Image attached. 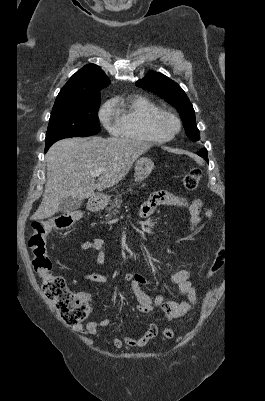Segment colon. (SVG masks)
<instances>
[{
    "label": "colon",
    "instance_id": "5ec220e1",
    "mask_svg": "<svg viewBox=\"0 0 265 401\" xmlns=\"http://www.w3.org/2000/svg\"><path fill=\"white\" fill-rule=\"evenodd\" d=\"M200 179L201 170L198 167H193L183 178L184 189L187 191L195 190ZM81 217L80 211H71L48 220L35 221L33 223V233L28 241L33 254V268L42 280L43 294L54 304L61 320L69 326L80 325L87 318L90 306L87 300L68 288L62 276L51 273L52 263L46 251L47 237L53 231L68 229L79 221ZM225 261V249L220 248L207 275L210 276L220 270ZM163 335L166 338H171L173 336L172 329H164Z\"/></svg>",
    "mask_w": 265,
    "mask_h": 401
}]
</instances>
